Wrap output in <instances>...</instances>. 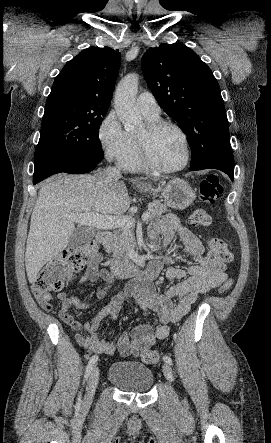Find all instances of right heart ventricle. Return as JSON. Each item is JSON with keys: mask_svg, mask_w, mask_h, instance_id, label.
Returning a JSON list of instances; mask_svg holds the SVG:
<instances>
[{"mask_svg": "<svg viewBox=\"0 0 271 443\" xmlns=\"http://www.w3.org/2000/svg\"><path fill=\"white\" fill-rule=\"evenodd\" d=\"M146 119L148 121H152L158 119V116L146 117ZM129 139L131 143V152L122 166L128 171L137 172L144 169L145 165L141 160L139 146H138V137L135 135H130Z\"/></svg>", "mask_w": 271, "mask_h": 443, "instance_id": "right-heart-ventricle-1", "label": "right heart ventricle"}]
</instances>
